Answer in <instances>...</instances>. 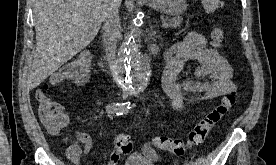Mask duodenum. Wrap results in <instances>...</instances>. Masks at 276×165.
Wrapping results in <instances>:
<instances>
[{"label":"duodenum","instance_id":"obj_1","mask_svg":"<svg viewBox=\"0 0 276 165\" xmlns=\"http://www.w3.org/2000/svg\"><path fill=\"white\" fill-rule=\"evenodd\" d=\"M101 65H102V67H103V69H104L105 71H107V72L109 71V70H108V67H107V65H106V63H105V61H104L103 59L101 60Z\"/></svg>","mask_w":276,"mask_h":165}]
</instances>
